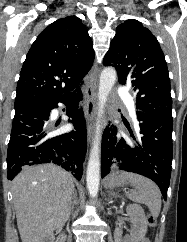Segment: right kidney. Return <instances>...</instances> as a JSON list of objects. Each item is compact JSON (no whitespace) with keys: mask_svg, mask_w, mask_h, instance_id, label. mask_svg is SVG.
Masks as SVG:
<instances>
[{"mask_svg":"<svg viewBox=\"0 0 187 242\" xmlns=\"http://www.w3.org/2000/svg\"><path fill=\"white\" fill-rule=\"evenodd\" d=\"M55 236L53 233H50L44 237L41 242H54Z\"/></svg>","mask_w":187,"mask_h":242,"instance_id":"ca27d5eb","label":"right kidney"}]
</instances>
